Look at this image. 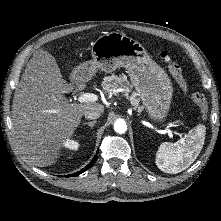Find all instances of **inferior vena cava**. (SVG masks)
<instances>
[{
	"label": "inferior vena cava",
	"mask_w": 221,
	"mask_h": 221,
	"mask_svg": "<svg viewBox=\"0 0 221 221\" xmlns=\"http://www.w3.org/2000/svg\"><path fill=\"white\" fill-rule=\"evenodd\" d=\"M100 115H101V111L97 109H91V110L85 111L84 113L85 118L89 120H95L99 118Z\"/></svg>",
	"instance_id": "obj_1"
}]
</instances>
